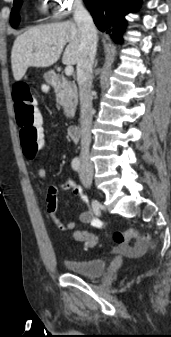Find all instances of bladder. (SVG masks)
Returning a JSON list of instances; mask_svg holds the SVG:
<instances>
[{"instance_id":"1","label":"bladder","mask_w":171,"mask_h":337,"mask_svg":"<svg viewBox=\"0 0 171 337\" xmlns=\"http://www.w3.org/2000/svg\"><path fill=\"white\" fill-rule=\"evenodd\" d=\"M64 264L70 273L90 278L101 276L106 269L104 259L68 258L64 261Z\"/></svg>"}]
</instances>
